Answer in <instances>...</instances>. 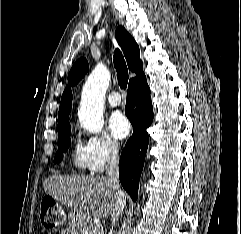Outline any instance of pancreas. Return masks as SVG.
I'll return each mask as SVG.
<instances>
[{
    "mask_svg": "<svg viewBox=\"0 0 241 234\" xmlns=\"http://www.w3.org/2000/svg\"><path fill=\"white\" fill-rule=\"evenodd\" d=\"M81 234H102V231L95 230L94 225L92 223L83 227Z\"/></svg>",
    "mask_w": 241,
    "mask_h": 234,
    "instance_id": "1",
    "label": "pancreas"
}]
</instances>
